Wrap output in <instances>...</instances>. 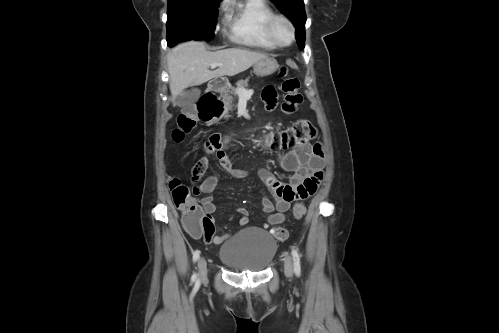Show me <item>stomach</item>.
I'll return each mask as SVG.
<instances>
[{
  "mask_svg": "<svg viewBox=\"0 0 499 333\" xmlns=\"http://www.w3.org/2000/svg\"><path fill=\"white\" fill-rule=\"evenodd\" d=\"M278 67L279 65L277 61L268 57L266 59L259 60L254 64V73L257 76L264 77L274 73Z\"/></svg>",
  "mask_w": 499,
  "mask_h": 333,
  "instance_id": "0dacf381",
  "label": "stomach"
}]
</instances>
